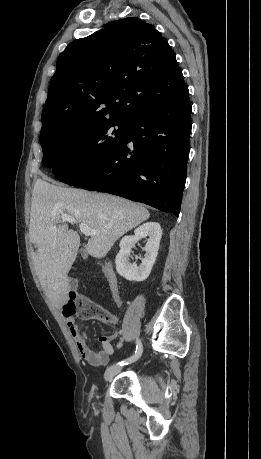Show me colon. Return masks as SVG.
<instances>
[{
    "mask_svg": "<svg viewBox=\"0 0 261 459\" xmlns=\"http://www.w3.org/2000/svg\"><path fill=\"white\" fill-rule=\"evenodd\" d=\"M65 317L78 316L81 319H97L107 324H114L116 317L97 304L90 297L82 294H71L63 306Z\"/></svg>",
    "mask_w": 261,
    "mask_h": 459,
    "instance_id": "5ec220e1",
    "label": "colon"
}]
</instances>
